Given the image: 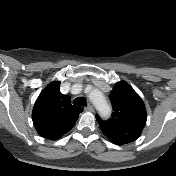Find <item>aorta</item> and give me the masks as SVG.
<instances>
[{"mask_svg":"<svg viewBox=\"0 0 176 176\" xmlns=\"http://www.w3.org/2000/svg\"><path fill=\"white\" fill-rule=\"evenodd\" d=\"M90 99L102 116L108 117L110 115L111 107L101 91L97 89L93 90L90 93Z\"/></svg>","mask_w":176,"mask_h":176,"instance_id":"obj_1","label":"aorta"}]
</instances>
